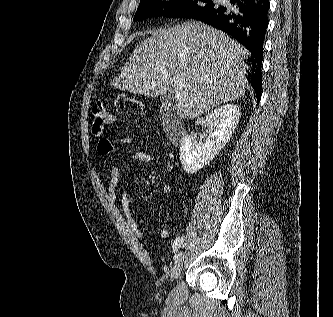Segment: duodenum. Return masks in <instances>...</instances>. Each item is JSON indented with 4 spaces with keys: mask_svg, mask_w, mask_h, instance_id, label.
Returning <instances> with one entry per match:
<instances>
[{
    "mask_svg": "<svg viewBox=\"0 0 333 317\" xmlns=\"http://www.w3.org/2000/svg\"><path fill=\"white\" fill-rule=\"evenodd\" d=\"M159 117L168 139L173 145L180 146L186 137V129L184 124L174 115L172 107L163 105L160 108Z\"/></svg>",
    "mask_w": 333,
    "mask_h": 317,
    "instance_id": "410a0bca",
    "label": "duodenum"
}]
</instances>
